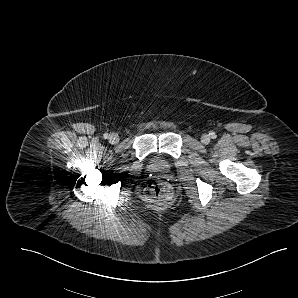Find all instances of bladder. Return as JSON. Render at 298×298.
I'll return each mask as SVG.
<instances>
[{
	"instance_id": "obj_1",
	"label": "bladder",
	"mask_w": 298,
	"mask_h": 298,
	"mask_svg": "<svg viewBox=\"0 0 298 298\" xmlns=\"http://www.w3.org/2000/svg\"><path fill=\"white\" fill-rule=\"evenodd\" d=\"M147 168L152 173L167 174L171 170V163L166 158L155 155L149 159Z\"/></svg>"
}]
</instances>
